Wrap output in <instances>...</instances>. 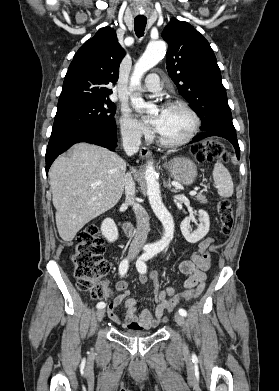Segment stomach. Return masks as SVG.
Returning <instances> with one entry per match:
<instances>
[{
    "label": "stomach",
    "instance_id": "obj_1",
    "mask_svg": "<svg viewBox=\"0 0 279 391\" xmlns=\"http://www.w3.org/2000/svg\"><path fill=\"white\" fill-rule=\"evenodd\" d=\"M163 166L174 180L185 185L192 184L197 176L196 165L185 157L173 158Z\"/></svg>",
    "mask_w": 279,
    "mask_h": 391
}]
</instances>
